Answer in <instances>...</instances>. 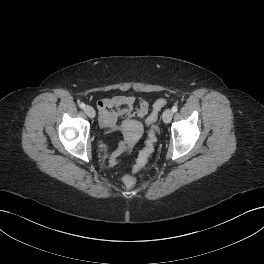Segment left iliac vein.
<instances>
[{
    "label": "left iliac vein",
    "mask_w": 264,
    "mask_h": 264,
    "mask_svg": "<svg viewBox=\"0 0 264 264\" xmlns=\"http://www.w3.org/2000/svg\"><path fill=\"white\" fill-rule=\"evenodd\" d=\"M173 117V111L171 109H166L162 115L163 121L169 123Z\"/></svg>",
    "instance_id": "left-iliac-vein-1"
}]
</instances>
